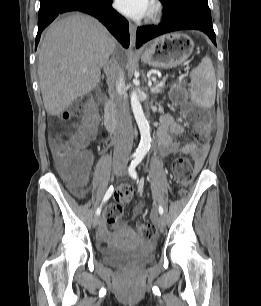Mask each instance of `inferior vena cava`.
I'll return each mask as SVG.
<instances>
[{
    "instance_id": "1",
    "label": "inferior vena cava",
    "mask_w": 261,
    "mask_h": 306,
    "mask_svg": "<svg viewBox=\"0 0 261 306\" xmlns=\"http://www.w3.org/2000/svg\"><path fill=\"white\" fill-rule=\"evenodd\" d=\"M113 70L107 78L108 91L115 108V115L118 121V131L121 137L116 145L115 151L122 156H128L133 146V127L129 111L127 93L125 90L124 72L113 58Z\"/></svg>"
}]
</instances>
